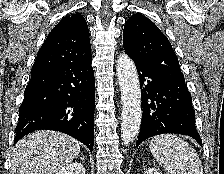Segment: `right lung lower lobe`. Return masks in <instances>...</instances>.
<instances>
[{"label": "right lung lower lobe", "mask_w": 224, "mask_h": 174, "mask_svg": "<svg viewBox=\"0 0 224 174\" xmlns=\"http://www.w3.org/2000/svg\"><path fill=\"white\" fill-rule=\"evenodd\" d=\"M92 59L32 73L19 108L14 144L35 130L49 129L94 145L95 81Z\"/></svg>", "instance_id": "98d812e1"}]
</instances>
